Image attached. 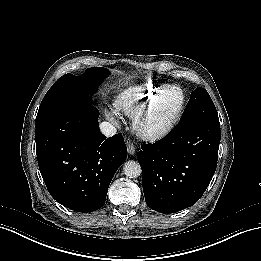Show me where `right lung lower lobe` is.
I'll return each mask as SVG.
<instances>
[{
  "mask_svg": "<svg viewBox=\"0 0 261 261\" xmlns=\"http://www.w3.org/2000/svg\"><path fill=\"white\" fill-rule=\"evenodd\" d=\"M99 111L73 100L35 123L38 165L52 197L83 213L101 208L109 184L127 157L121 134L99 132Z\"/></svg>",
  "mask_w": 261,
  "mask_h": 261,
  "instance_id": "right-lung-lower-lobe-1",
  "label": "right lung lower lobe"
}]
</instances>
